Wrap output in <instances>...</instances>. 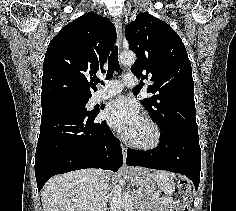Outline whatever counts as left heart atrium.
Segmentation results:
<instances>
[{"mask_svg": "<svg viewBox=\"0 0 236 211\" xmlns=\"http://www.w3.org/2000/svg\"><path fill=\"white\" fill-rule=\"evenodd\" d=\"M103 116L113 128L125 135H130L143 121L139 106L124 96L110 101Z\"/></svg>", "mask_w": 236, "mask_h": 211, "instance_id": "obj_1", "label": "left heart atrium"}]
</instances>
